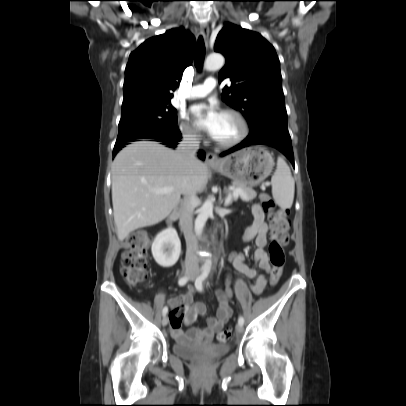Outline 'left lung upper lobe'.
I'll list each match as a JSON object with an SVG mask.
<instances>
[{
  "label": "left lung upper lobe",
  "mask_w": 406,
  "mask_h": 406,
  "mask_svg": "<svg viewBox=\"0 0 406 406\" xmlns=\"http://www.w3.org/2000/svg\"><path fill=\"white\" fill-rule=\"evenodd\" d=\"M214 50L226 58L219 82H232L231 87H224L222 99L246 117L250 133H288L280 62L274 47L259 33L226 23Z\"/></svg>",
  "instance_id": "5c2ea615"
}]
</instances>
